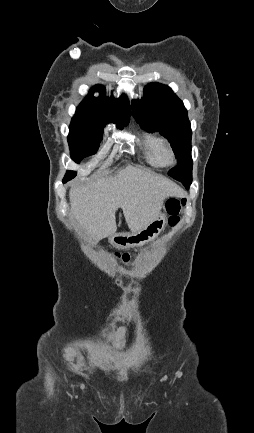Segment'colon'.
<instances>
[{"label": "colon", "mask_w": 254, "mask_h": 433, "mask_svg": "<svg viewBox=\"0 0 254 433\" xmlns=\"http://www.w3.org/2000/svg\"><path fill=\"white\" fill-rule=\"evenodd\" d=\"M186 200L184 198L179 197H171L168 199L166 207L167 212L169 214V224L170 226H175L180 219V213L185 205ZM117 257L122 260L124 263H128L131 261L132 256L128 253L118 254Z\"/></svg>", "instance_id": "5ec220e1"}]
</instances>
